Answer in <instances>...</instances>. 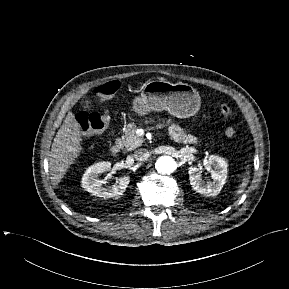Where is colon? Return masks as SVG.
<instances>
[{"label": "colon", "mask_w": 289, "mask_h": 289, "mask_svg": "<svg viewBox=\"0 0 289 289\" xmlns=\"http://www.w3.org/2000/svg\"><path fill=\"white\" fill-rule=\"evenodd\" d=\"M120 88V83L117 80L108 81L97 86L94 93L102 100L112 98ZM220 113L224 118H229L232 115V110L227 104H222ZM76 121L83 133H98L106 129L109 123V115L107 113H88L79 112L76 115ZM225 135L229 138L236 136V130L233 127H227Z\"/></svg>", "instance_id": "obj_1"}]
</instances>
